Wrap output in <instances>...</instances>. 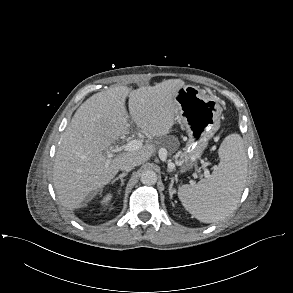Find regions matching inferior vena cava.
<instances>
[{"instance_id": "obj_1", "label": "inferior vena cava", "mask_w": 293, "mask_h": 293, "mask_svg": "<svg viewBox=\"0 0 293 293\" xmlns=\"http://www.w3.org/2000/svg\"><path fill=\"white\" fill-rule=\"evenodd\" d=\"M136 166L135 162L130 159V158H126L123 160V162L121 163L120 169L126 172L131 171L134 167Z\"/></svg>"}]
</instances>
